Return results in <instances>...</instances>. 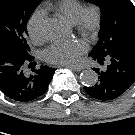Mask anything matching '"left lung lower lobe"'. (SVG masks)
<instances>
[{
	"label": "left lung lower lobe",
	"instance_id": "left-lung-lower-lobe-1",
	"mask_svg": "<svg viewBox=\"0 0 135 135\" xmlns=\"http://www.w3.org/2000/svg\"><path fill=\"white\" fill-rule=\"evenodd\" d=\"M90 56L101 65L107 62L103 71L93 68L98 73V82L94 86L84 87L91 97L102 101L116 99L135 82V50L118 49L105 57Z\"/></svg>",
	"mask_w": 135,
	"mask_h": 135
}]
</instances>
